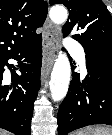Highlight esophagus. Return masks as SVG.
<instances>
[{
    "label": "esophagus",
    "mask_w": 112,
    "mask_h": 135,
    "mask_svg": "<svg viewBox=\"0 0 112 135\" xmlns=\"http://www.w3.org/2000/svg\"><path fill=\"white\" fill-rule=\"evenodd\" d=\"M59 30L54 26L49 19H47L44 30L45 46L43 51L41 81L49 74L54 60L57 56L59 43L57 40Z\"/></svg>",
    "instance_id": "obj_1"
}]
</instances>
